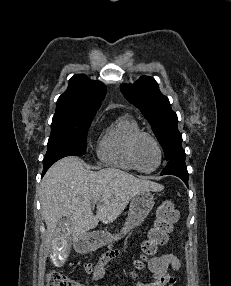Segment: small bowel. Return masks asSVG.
<instances>
[{
	"label": "small bowel",
	"instance_id": "obj_1",
	"mask_svg": "<svg viewBox=\"0 0 231 286\" xmlns=\"http://www.w3.org/2000/svg\"><path fill=\"white\" fill-rule=\"evenodd\" d=\"M122 250L113 249L104 253L96 262L85 265V270L91 280H100L104 276V267L121 254ZM151 272L150 282H139L137 286H174L176 278L168 273L171 268L178 272L181 268L180 260L171 253L152 257L148 262Z\"/></svg>",
	"mask_w": 231,
	"mask_h": 286
}]
</instances>
